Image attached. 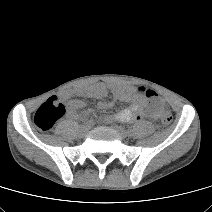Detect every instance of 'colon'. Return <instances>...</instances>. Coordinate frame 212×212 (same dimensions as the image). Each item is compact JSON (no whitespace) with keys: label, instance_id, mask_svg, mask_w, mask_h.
I'll return each instance as SVG.
<instances>
[{"label":"colon","instance_id":"1","mask_svg":"<svg viewBox=\"0 0 212 212\" xmlns=\"http://www.w3.org/2000/svg\"><path fill=\"white\" fill-rule=\"evenodd\" d=\"M135 92L143 93L157 105L161 104L157 93L153 90L138 88ZM65 111V106L56 97H50L36 110L33 119L34 124L40 131H48L63 117ZM161 120L164 124L169 125L173 121V117L169 112H165Z\"/></svg>","mask_w":212,"mask_h":212}]
</instances>
